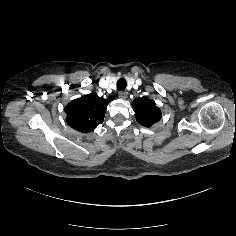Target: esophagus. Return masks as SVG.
<instances>
[{
    "label": "esophagus",
    "mask_w": 236,
    "mask_h": 236,
    "mask_svg": "<svg viewBox=\"0 0 236 236\" xmlns=\"http://www.w3.org/2000/svg\"><path fill=\"white\" fill-rule=\"evenodd\" d=\"M127 96H128V92H127V91H120V92H119V97H120L121 99H126Z\"/></svg>",
    "instance_id": "34e87169"
}]
</instances>
